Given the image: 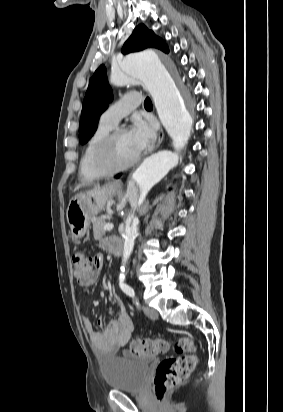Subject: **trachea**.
I'll list each match as a JSON object with an SVG mask.
<instances>
[{
    "label": "trachea",
    "instance_id": "1",
    "mask_svg": "<svg viewBox=\"0 0 283 412\" xmlns=\"http://www.w3.org/2000/svg\"><path fill=\"white\" fill-rule=\"evenodd\" d=\"M144 106H145V108L152 107V102H151L150 98H148V97L146 98V100L144 102Z\"/></svg>",
    "mask_w": 283,
    "mask_h": 412
}]
</instances>
